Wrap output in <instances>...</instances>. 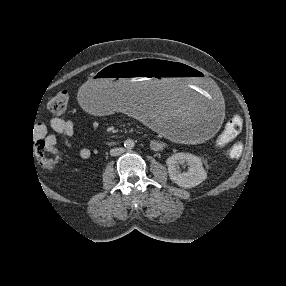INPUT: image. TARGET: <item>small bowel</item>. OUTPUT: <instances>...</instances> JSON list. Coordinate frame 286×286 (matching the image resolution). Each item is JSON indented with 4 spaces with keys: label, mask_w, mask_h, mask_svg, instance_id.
Wrapping results in <instances>:
<instances>
[{
    "label": "small bowel",
    "mask_w": 286,
    "mask_h": 286,
    "mask_svg": "<svg viewBox=\"0 0 286 286\" xmlns=\"http://www.w3.org/2000/svg\"><path fill=\"white\" fill-rule=\"evenodd\" d=\"M92 128L97 130L99 128V124L94 122L92 124ZM49 130H52L54 133H49ZM75 132V125L71 120H65L61 118H52L48 123H40L36 125L34 128V136L37 138H45L46 141L55 145L57 143V135H61L64 139V144L67 148H71V137ZM155 146L163 147L164 144L162 142H156ZM236 149H239L238 152H235ZM242 151V146L239 143L234 144L229 150V156L232 159H236L240 156ZM79 156L82 159H88L91 156V150L89 148H81L79 150Z\"/></svg>",
    "instance_id": "obj_1"
}]
</instances>
